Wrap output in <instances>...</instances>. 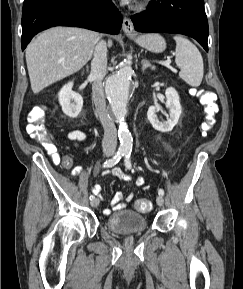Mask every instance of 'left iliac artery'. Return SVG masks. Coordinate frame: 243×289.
<instances>
[{
	"label": "left iliac artery",
	"mask_w": 243,
	"mask_h": 289,
	"mask_svg": "<svg viewBox=\"0 0 243 289\" xmlns=\"http://www.w3.org/2000/svg\"><path fill=\"white\" fill-rule=\"evenodd\" d=\"M130 156H131V151H126L125 154H124V157H125L124 162H125V166L128 169H131V167H132ZM158 194L163 196L164 195V190L163 189H159L158 190Z\"/></svg>",
	"instance_id": "obj_1"
}]
</instances>
